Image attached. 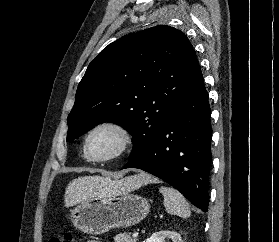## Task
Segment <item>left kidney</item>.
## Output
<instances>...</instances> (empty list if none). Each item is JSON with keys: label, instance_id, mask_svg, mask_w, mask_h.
<instances>
[{"label": "left kidney", "instance_id": "1", "mask_svg": "<svg viewBox=\"0 0 279 242\" xmlns=\"http://www.w3.org/2000/svg\"><path fill=\"white\" fill-rule=\"evenodd\" d=\"M165 238H170L172 242H182L180 234L175 231H159L153 233L150 238L143 242H164Z\"/></svg>", "mask_w": 279, "mask_h": 242}]
</instances>
